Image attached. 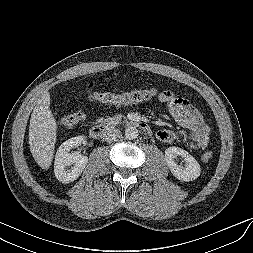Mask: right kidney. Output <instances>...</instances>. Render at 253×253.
<instances>
[{
    "instance_id": "1",
    "label": "right kidney",
    "mask_w": 253,
    "mask_h": 253,
    "mask_svg": "<svg viewBox=\"0 0 253 253\" xmlns=\"http://www.w3.org/2000/svg\"><path fill=\"white\" fill-rule=\"evenodd\" d=\"M84 139V136L70 138L62 143L57 150L54 162V173L60 182L69 183L76 180L87 165L88 157L77 153H69L73 147L79 146ZM71 165L73 167L67 169Z\"/></svg>"
}]
</instances>
